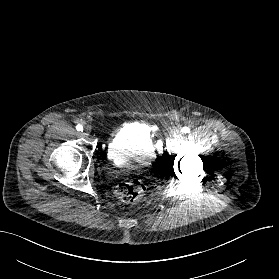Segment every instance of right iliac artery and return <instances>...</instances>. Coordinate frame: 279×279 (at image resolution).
I'll return each instance as SVG.
<instances>
[{
    "label": "right iliac artery",
    "instance_id": "1",
    "mask_svg": "<svg viewBox=\"0 0 279 279\" xmlns=\"http://www.w3.org/2000/svg\"><path fill=\"white\" fill-rule=\"evenodd\" d=\"M76 129H77V131H83V127L80 124L76 126Z\"/></svg>",
    "mask_w": 279,
    "mask_h": 279
}]
</instances>
